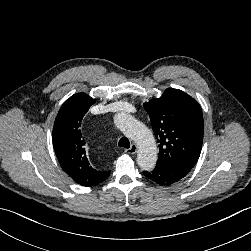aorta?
Segmentation results:
<instances>
[{
    "label": "aorta",
    "instance_id": "obj_1",
    "mask_svg": "<svg viewBox=\"0 0 251 251\" xmlns=\"http://www.w3.org/2000/svg\"><path fill=\"white\" fill-rule=\"evenodd\" d=\"M115 125L139 146L137 164L142 170H152L157 162V147L152 132L140 121L129 114L118 113Z\"/></svg>",
    "mask_w": 251,
    "mask_h": 251
}]
</instances>
